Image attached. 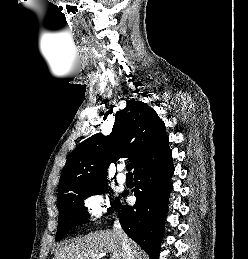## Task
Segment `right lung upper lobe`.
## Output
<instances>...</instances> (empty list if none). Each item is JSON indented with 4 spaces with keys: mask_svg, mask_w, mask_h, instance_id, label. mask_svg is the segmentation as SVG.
I'll list each match as a JSON object with an SVG mask.
<instances>
[{
    "mask_svg": "<svg viewBox=\"0 0 248 259\" xmlns=\"http://www.w3.org/2000/svg\"><path fill=\"white\" fill-rule=\"evenodd\" d=\"M169 151L166 128L157 113L144 102L128 101L126 108L116 113L110 135H92L70 154L61 174L58 197L105 182L107 167L118 158L129 157L135 171Z\"/></svg>",
    "mask_w": 248,
    "mask_h": 259,
    "instance_id": "cb5924a9",
    "label": "right lung upper lobe"
}]
</instances>
